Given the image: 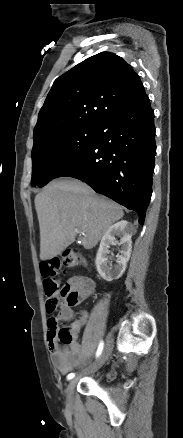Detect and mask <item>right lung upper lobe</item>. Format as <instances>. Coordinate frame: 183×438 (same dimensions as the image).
<instances>
[{"instance_id":"cb5924a9","label":"right lung upper lobe","mask_w":183,"mask_h":438,"mask_svg":"<svg viewBox=\"0 0 183 438\" xmlns=\"http://www.w3.org/2000/svg\"><path fill=\"white\" fill-rule=\"evenodd\" d=\"M145 96L132 67L113 53L101 52L55 80L39 112L33 139L68 128L98 126Z\"/></svg>"}]
</instances>
